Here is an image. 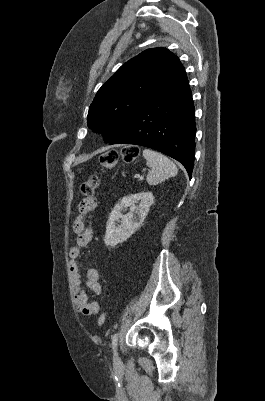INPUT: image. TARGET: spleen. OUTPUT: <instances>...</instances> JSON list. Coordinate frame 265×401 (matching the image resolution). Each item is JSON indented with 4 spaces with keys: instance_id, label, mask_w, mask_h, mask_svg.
Instances as JSON below:
<instances>
[{
    "instance_id": "1",
    "label": "spleen",
    "mask_w": 265,
    "mask_h": 401,
    "mask_svg": "<svg viewBox=\"0 0 265 401\" xmlns=\"http://www.w3.org/2000/svg\"><path fill=\"white\" fill-rule=\"evenodd\" d=\"M142 154L146 158V164L151 166V170L147 174V182L151 186L163 182L169 176H176L178 168L165 154L150 150V148H144Z\"/></svg>"
}]
</instances>
